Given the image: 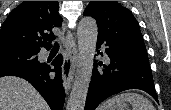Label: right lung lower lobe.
Returning <instances> with one entry per match:
<instances>
[{"label":"right lung lower lobe","mask_w":171,"mask_h":110,"mask_svg":"<svg viewBox=\"0 0 171 110\" xmlns=\"http://www.w3.org/2000/svg\"><path fill=\"white\" fill-rule=\"evenodd\" d=\"M62 61V56L58 55L50 65L40 63L31 67L12 68L0 71V77L18 76L26 79L39 91L52 110H62L65 98L61 78Z\"/></svg>","instance_id":"obj_1"}]
</instances>
